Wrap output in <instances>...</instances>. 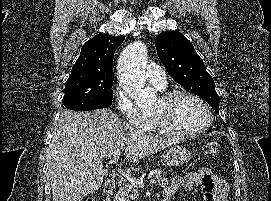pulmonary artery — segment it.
<instances>
[{
	"label": "pulmonary artery",
	"mask_w": 271,
	"mask_h": 201,
	"mask_svg": "<svg viewBox=\"0 0 271 201\" xmlns=\"http://www.w3.org/2000/svg\"><path fill=\"white\" fill-rule=\"evenodd\" d=\"M147 80L155 86L163 89L165 88L167 81L166 75L163 69L155 63H150L146 70Z\"/></svg>",
	"instance_id": "1"
}]
</instances>
